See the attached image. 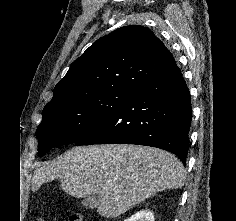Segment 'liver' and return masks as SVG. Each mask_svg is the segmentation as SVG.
I'll use <instances>...</instances> for the list:
<instances>
[{"mask_svg":"<svg viewBox=\"0 0 236 221\" xmlns=\"http://www.w3.org/2000/svg\"><path fill=\"white\" fill-rule=\"evenodd\" d=\"M55 179L73 197L98 195V214L116 218L158 192L182 187L185 170L159 148L105 144L74 147L37 168L32 190Z\"/></svg>","mask_w":236,"mask_h":221,"instance_id":"6515ba94","label":"liver"}]
</instances>
